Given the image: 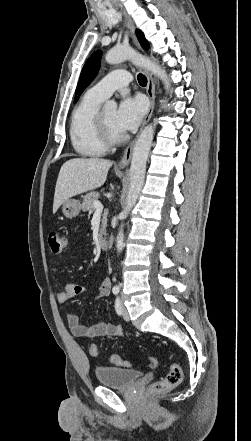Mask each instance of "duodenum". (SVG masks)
Wrapping results in <instances>:
<instances>
[{"mask_svg":"<svg viewBox=\"0 0 251 441\" xmlns=\"http://www.w3.org/2000/svg\"><path fill=\"white\" fill-rule=\"evenodd\" d=\"M99 245L102 250H107L109 247V242L106 238H101L99 241Z\"/></svg>","mask_w":251,"mask_h":441,"instance_id":"duodenum-1","label":"duodenum"}]
</instances>
